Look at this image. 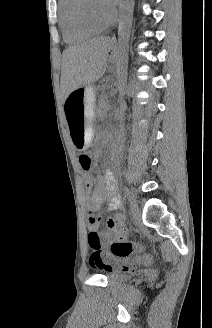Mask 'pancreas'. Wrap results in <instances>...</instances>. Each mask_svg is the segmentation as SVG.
Instances as JSON below:
<instances>
[{"instance_id":"pancreas-1","label":"pancreas","mask_w":212,"mask_h":328,"mask_svg":"<svg viewBox=\"0 0 212 328\" xmlns=\"http://www.w3.org/2000/svg\"><path fill=\"white\" fill-rule=\"evenodd\" d=\"M99 108L100 109H107L108 108V103L106 102V100H101V102L99 103Z\"/></svg>"}]
</instances>
